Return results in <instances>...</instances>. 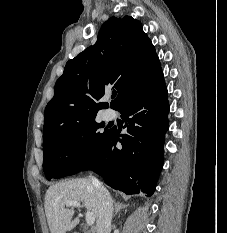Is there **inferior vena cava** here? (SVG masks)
Segmentation results:
<instances>
[{
  "mask_svg": "<svg viewBox=\"0 0 227 233\" xmlns=\"http://www.w3.org/2000/svg\"><path fill=\"white\" fill-rule=\"evenodd\" d=\"M91 180L96 189L99 201L96 233H110L113 214L112 199L108 190L98 181L97 178L92 177Z\"/></svg>",
  "mask_w": 227,
  "mask_h": 233,
  "instance_id": "obj_1",
  "label": "inferior vena cava"
}]
</instances>
